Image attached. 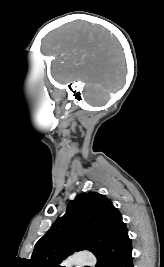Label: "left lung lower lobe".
I'll list each match as a JSON object with an SVG mask.
<instances>
[{"mask_svg":"<svg viewBox=\"0 0 164 267\" xmlns=\"http://www.w3.org/2000/svg\"><path fill=\"white\" fill-rule=\"evenodd\" d=\"M131 251V240L123 224L96 253V267H133Z\"/></svg>","mask_w":164,"mask_h":267,"instance_id":"obj_1","label":"left lung lower lobe"}]
</instances>
